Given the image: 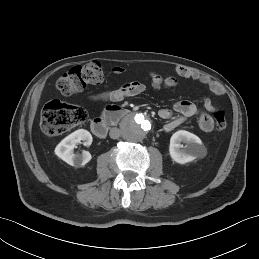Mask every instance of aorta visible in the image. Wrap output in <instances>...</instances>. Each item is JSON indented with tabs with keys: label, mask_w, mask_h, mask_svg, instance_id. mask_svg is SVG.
I'll return each instance as SVG.
<instances>
[{
	"label": "aorta",
	"mask_w": 259,
	"mask_h": 259,
	"mask_svg": "<svg viewBox=\"0 0 259 259\" xmlns=\"http://www.w3.org/2000/svg\"><path fill=\"white\" fill-rule=\"evenodd\" d=\"M125 139L133 142L141 141L151 129L150 121L142 114L129 116L122 125Z\"/></svg>",
	"instance_id": "1"
}]
</instances>
